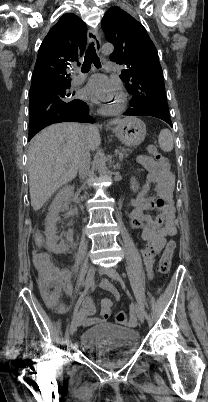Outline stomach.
I'll return each instance as SVG.
<instances>
[{
	"mask_svg": "<svg viewBox=\"0 0 208 402\" xmlns=\"http://www.w3.org/2000/svg\"><path fill=\"white\" fill-rule=\"evenodd\" d=\"M117 138L124 146L133 148V146H139L143 142L146 136V126L142 120L136 118V116H126L124 120H121L114 128Z\"/></svg>",
	"mask_w": 208,
	"mask_h": 402,
	"instance_id": "obj_1",
	"label": "stomach"
}]
</instances>
